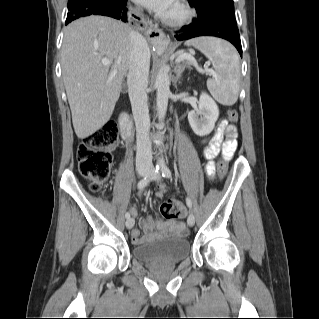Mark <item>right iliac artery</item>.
Segmentation results:
<instances>
[{
	"label": "right iliac artery",
	"instance_id": "82829eb1",
	"mask_svg": "<svg viewBox=\"0 0 319 319\" xmlns=\"http://www.w3.org/2000/svg\"><path fill=\"white\" fill-rule=\"evenodd\" d=\"M158 170H159V166L157 165L156 168L153 170V172L150 175H148V176L144 177L143 179H141L138 182V185H137L138 189L139 190H143L150 183V181L153 179V177L155 176L156 172H158ZM125 217L127 219L130 218V213L127 212L125 214Z\"/></svg>",
	"mask_w": 319,
	"mask_h": 319
}]
</instances>
